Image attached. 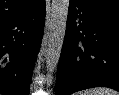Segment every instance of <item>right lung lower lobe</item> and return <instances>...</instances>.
Returning a JSON list of instances; mask_svg holds the SVG:
<instances>
[{"mask_svg": "<svg viewBox=\"0 0 119 95\" xmlns=\"http://www.w3.org/2000/svg\"><path fill=\"white\" fill-rule=\"evenodd\" d=\"M45 23V0L0 24V94L29 95Z\"/></svg>", "mask_w": 119, "mask_h": 95, "instance_id": "obj_1", "label": "right lung lower lobe"}]
</instances>
